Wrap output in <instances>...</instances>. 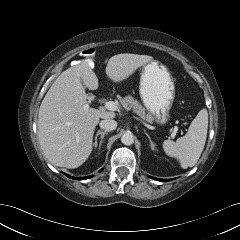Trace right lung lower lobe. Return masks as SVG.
<instances>
[{"label": "right lung lower lobe", "instance_id": "obj_1", "mask_svg": "<svg viewBox=\"0 0 240 240\" xmlns=\"http://www.w3.org/2000/svg\"><path fill=\"white\" fill-rule=\"evenodd\" d=\"M101 171V170H100ZM67 177L71 178V179H75V180H84V179H88L90 178V176L87 177H82V178H75V177H71L70 175L66 174Z\"/></svg>", "mask_w": 240, "mask_h": 240}]
</instances>
